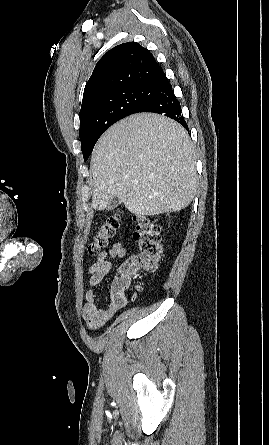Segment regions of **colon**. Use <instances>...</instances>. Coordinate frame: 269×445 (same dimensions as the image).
<instances>
[{"label": "colon", "instance_id": "obj_1", "mask_svg": "<svg viewBox=\"0 0 269 445\" xmlns=\"http://www.w3.org/2000/svg\"><path fill=\"white\" fill-rule=\"evenodd\" d=\"M120 225V216L111 215L103 220L92 235L88 245L89 255H97L106 247L115 235ZM134 239L138 244V252L134 258L123 267L113 283L116 293L125 292L134 281L139 269L153 270L161 258V237L159 226L151 219L143 217L137 220ZM120 299V297H117Z\"/></svg>", "mask_w": 269, "mask_h": 445}]
</instances>
